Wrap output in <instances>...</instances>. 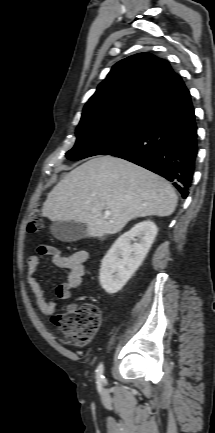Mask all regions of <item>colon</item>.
<instances>
[{
    "label": "colon",
    "mask_w": 215,
    "mask_h": 433,
    "mask_svg": "<svg viewBox=\"0 0 215 433\" xmlns=\"http://www.w3.org/2000/svg\"><path fill=\"white\" fill-rule=\"evenodd\" d=\"M43 217L35 206L27 220V231L38 233L43 229ZM55 325L78 345H86L95 337L100 325V310L93 303H84L76 310L54 316Z\"/></svg>",
    "instance_id": "1"
}]
</instances>
